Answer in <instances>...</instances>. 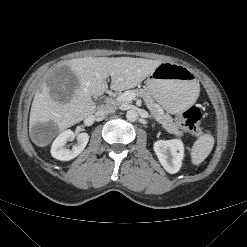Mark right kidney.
Here are the masks:
<instances>
[{
	"label": "right kidney",
	"instance_id": "obj_1",
	"mask_svg": "<svg viewBox=\"0 0 247 247\" xmlns=\"http://www.w3.org/2000/svg\"><path fill=\"white\" fill-rule=\"evenodd\" d=\"M76 137L77 142L72 146V149L66 148V143L72 141ZM89 141V135L87 133H75L71 130L63 131L54 140L51 147V155L55 159L62 161H69L77 157L86 147Z\"/></svg>",
	"mask_w": 247,
	"mask_h": 247
}]
</instances>
